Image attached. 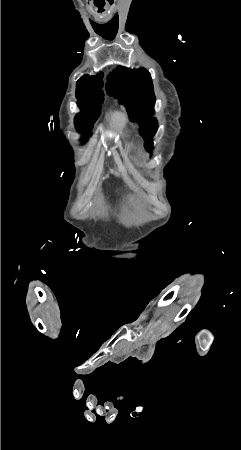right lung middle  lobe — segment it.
Wrapping results in <instances>:
<instances>
[{"label":"right lung middle lobe","mask_w":241,"mask_h":450,"mask_svg":"<svg viewBox=\"0 0 241 450\" xmlns=\"http://www.w3.org/2000/svg\"><path fill=\"white\" fill-rule=\"evenodd\" d=\"M102 87L103 82L95 76L84 75L77 81L76 98L78 99V106L81 109V113L75 117V125L77 128L79 121L86 114H90L93 119V124L95 123L100 114L101 104L103 103L104 93L101 90Z\"/></svg>","instance_id":"1"}]
</instances>
